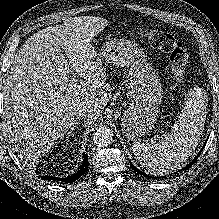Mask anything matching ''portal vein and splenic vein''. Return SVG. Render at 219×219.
<instances>
[{"label": "portal vein and splenic vein", "mask_w": 219, "mask_h": 219, "mask_svg": "<svg viewBox=\"0 0 219 219\" xmlns=\"http://www.w3.org/2000/svg\"><path fill=\"white\" fill-rule=\"evenodd\" d=\"M71 81H72V83L78 81L76 74L73 75V78L71 79Z\"/></svg>", "instance_id": "obj_1"}]
</instances>
